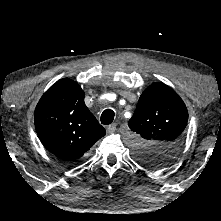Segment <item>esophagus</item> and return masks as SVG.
<instances>
[{
  "label": "esophagus",
  "mask_w": 221,
  "mask_h": 221,
  "mask_svg": "<svg viewBox=\"0 0 221 221\" xmlns=\"http://www.w3.org/2000/svg\"><path fill=\"white\" fill-rule=\"evenodd\" d=\"M116 127H117L116 123L109 125L107 128L108 133H110V134L114 133L116 131Z\"/></svg>",
  "instance_id": "esophagus-1"
}]
</instances>
